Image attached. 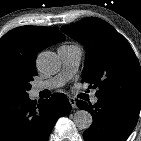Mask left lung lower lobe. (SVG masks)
Returning <instances> with one entry per match:
<instances>
[{"mask_svg": "<svg viewBox=\"0 0 141 141\" xmlns=\"http://www.w3.org/2000/svg\"><path fill=\"white\" fill-rule=\"evenodd\" d=\"M77 106L93 116L92 125L83 133L85 141H126L136 126L141 101L98 97L93 106L83 101Z\"/></svg>", "mask_w": 141, "mask_h": 141, "instance_id": "obj_1", "label": "left lung lower lobe"}]
</instances>
